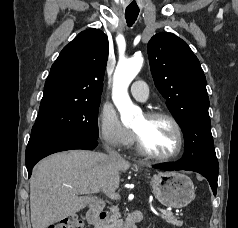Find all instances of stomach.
Segmentation results:
<instances>
[{"label": "stomach", "instance_id": "0dacf381", "mask_svg": "<svg viewBox=\"0 0 238 228\" xmlns=\"http://www.w3.org/2000/svg\"><path fill=\"white\" fill-rule=\"evenodd\" d=\"M156 199L164 206L183 208L195 197L191 179L178 172H159L150 177Z\"/></svg>", "mask_w": 238, "mask_h": 228}]
</instances>
